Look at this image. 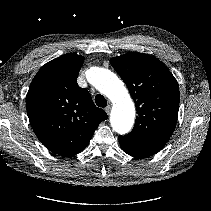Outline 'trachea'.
<instances>
[{"label":"trachea","mask_w":211,"mask_h":211,"mask_svg":"<svg viewBox=\"0 0 211 211\" xmlns=\"http://www.w3.org/2000/svg\"><path fill=\"white\" fill-rule=\"evenodd\" d=\"M95 103L99 107H106L107 100H106V98L103 95L98 94V95L95 96Z\"/></svg>","instance_id":"3493384b"}]
</instances>
